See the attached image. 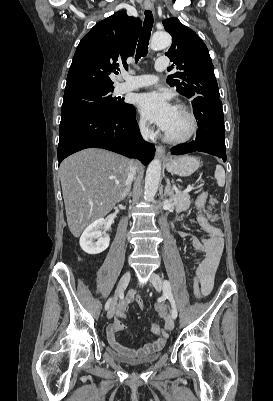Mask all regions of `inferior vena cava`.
<instances>
[{
	"label": "inferior vena cava",
	"instance_id": "1",
	"mask_svg": "<svg viewBox=\"0 0 273 401\" xmlns=\"http://www.w3.org/2000/svg\"><path fill=\"white\" fill-rule=\"evenodd\" d=\"M140 130H141V134H142L143 138H145V140H148L149 134H151L149 128H147V126H143V124H141ZM134 174H135V166H130V172H128V178L126 180V184H131V182L134 178Z\"/></svg>",
	"mask_w": 273,
	"mask_h": 401
}]
</instances>
